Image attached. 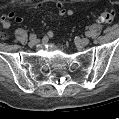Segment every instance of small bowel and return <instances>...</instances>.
I'll return each mask as SVG.
<instances>
[{
	"instance_id": "obj_1",
	"label": "small bowel",
	"mask_w": 119,
	"mask_h": 119,
	"mask_svg": "<svg viewBox=\"0 0 119 119\" xmlns=\"http://www.w3.org/2000/svg\"><path fill=\"white\" fill-rule=\"evenodd\" d=\"M43 5H44V3H42V2L36 3L32 6V8H34V9L41 8V7H43ZM54 5H55V7L58 11V14L60 16H71L73 14V11L71 9L66 8V6L60 1L55 2ZM10 19H14L16 22L22 21L21 16L15 15L12 12L5 13L1 17V23H2L3 28L8 29L11 26ZM48 35H49V37H52L53 34H52V32H49Z\"/></svg>"
}]
</instances>
